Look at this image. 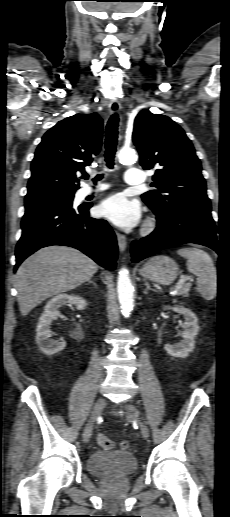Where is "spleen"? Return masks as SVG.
<instances>
[{
	"label": "spleen",
	"instance_id": "1",
	"mask_svg": "<svg viewBox=\"0 0 230 517\" xmlns=\"http://www.w3.org/2000/svg\"><path fill=\"white\" fill-rule=\"evenodd\" d=\"M177 253L187 259V269L197 276V292L211 300L217 292V272L214 263L205 251L198 248H183Z\"/></svg>",
	"mask_w": 230,
	"mask_h": 517
}]
</instances>
